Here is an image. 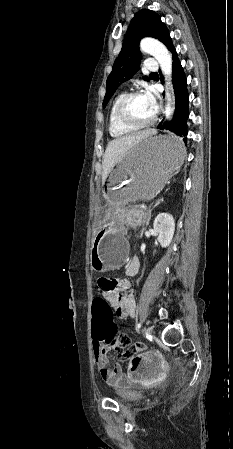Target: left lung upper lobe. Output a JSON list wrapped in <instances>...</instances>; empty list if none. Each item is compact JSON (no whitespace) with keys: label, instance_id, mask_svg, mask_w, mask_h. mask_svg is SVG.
Listing matches in <instances>:
<instances>
[{"label":"left lung upper lobe","instance_id":"1","mask_svg":"<svg viewBox=\"0 0 233 449\" xmlns=\"http://www.w3.org/2000/svg\"><path fill=\"white\" fill-rule=\"evenodd\" d=\"M144 37L158 39L166 45L170 52L174 49L169 31L161 21L160 16L148 9L137 12L131 20L123 41L122 50L114 62L112 72L107 78L103 108L106 107L117 87L122 82L132 78L138 71L141 59L139 42ZM143 79L149 81L147 76H144Z\"/></svg>","mask_w":233,"mask_h":449}]
</instances>
